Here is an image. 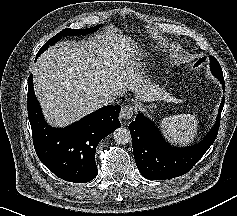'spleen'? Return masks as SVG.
<instances>
[{
  "label": "spleen",
  "instance_id": "3e777b00",
  "mask_svg": "<svg viewBox=\"0 0 237 216\" xmlns=\"http://www.w3.org/2000/svg\"><path fill=\"white\" fill-rule=\"evenodd\" d=\"M165 137L174 143L187 144L194 139L195 119L187 114L166 117L161 122Z\"/></svg>",
  "mask_w": 237,
  "mask_h": 216
}]
</instances>
